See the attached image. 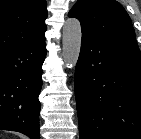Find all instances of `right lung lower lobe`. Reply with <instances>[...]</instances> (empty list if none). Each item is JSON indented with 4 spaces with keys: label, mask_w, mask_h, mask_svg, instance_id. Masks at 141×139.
<instances>
[{
    "label": "right lung lower lobe",
    "mask_w": 141,
    "mask_h": 139,
    "mask_svg": "<svg viewBox=\"0 0 141 139\" xmlns=\"http://www.w3.org/2000/svg\"><path fill=\"white\" fill-rule=\"evenodd\" d=\"M45 56V37L0 51V129L40 139L38 96Z\"/></svg>",
    "instance_id": "right-lung-lower-lobe-1"
}]
</instances>
